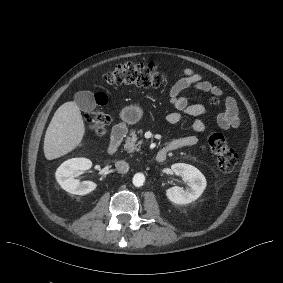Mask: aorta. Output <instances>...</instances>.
Here are the masks:
<instances>
[{"mask_svg":"<svg viewBox=\"0 0 283 283\" xmlns=\"http://www.w3.org/2000/svg\"><path fill=\"white\" fill-rule=\"evenodd\" d=\"M145 182V176L142 173H136L133 177V185L141 187Z\"/></svg>","mask_w":283,"mask_h":283,"instance_id":"obj_1","label":"aorta"}]
</instances>
